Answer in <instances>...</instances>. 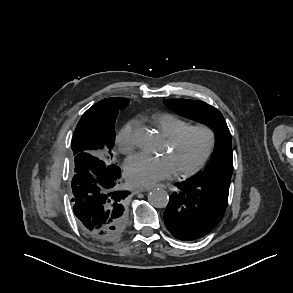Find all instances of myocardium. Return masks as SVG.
<instances>
[{
    "instance_id": "obj_1",
    "label": "myocardium",
    "mask_w": 293,
    "mask_h": 293,
    "mask_svg": "<svg viewBox=\"0 0 293 293\" xmlns=\"http://www.w3.org/2000/svg\"><path fill=\"white\" fill-rule=\"evenodd\" d=\"M193 131L203 132L206 136V143H205L203 152L201 153V155L199 156V158L196 160L194 164H192L188 168L177 171V175L181 177H188L195 174L197 171H199L202 168V166L205 164L209 156L211 155L215 145V133L211 127L205 124H194V125L187 126L186 128L182 129L180 132L175 134L174 136L168 138L167 144L170 147H175L178 144H180L182 140L190 132H193Z\"/></svg>"
}]
</instances>
